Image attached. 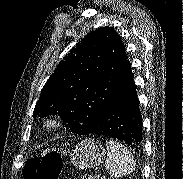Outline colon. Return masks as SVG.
<instances>
[{"mask_svg":"<svg viewBox=\"0 0 183 179\" xmlns=\"http://www.w3.org/2000/svg\"><path fill=\"white\" fill-rule=\"evenodd\" d=\"M62 167L61 150L49 148L40 157H32L26 162L24 179H58Z\"/></svg>","mask_w":183,"mask_h":179,"instance_id":"1","label":"colon"}]
</instances>
